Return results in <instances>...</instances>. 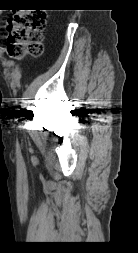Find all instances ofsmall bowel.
<instances>
[{"label":"small bowel","instance_id":"small-bowel-1","mask_svg":"<svg viewBox=\"0 0 138 253\" xmlns=\"http://www.w3.org/2000/svg\"><path fill=\"white\" fill-rule=\"evenodd\" d=\"M4 55V49L0 47V57Z\"/></svg>","mask_w":138,"mask_h":253}]
</instances>
